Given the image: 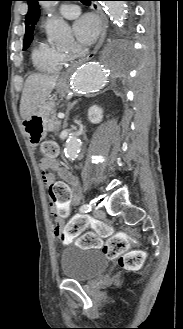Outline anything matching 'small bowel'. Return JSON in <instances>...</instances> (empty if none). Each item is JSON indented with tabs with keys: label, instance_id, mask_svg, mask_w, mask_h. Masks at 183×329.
Segmentation results:
<instances>
[{
	"label": "small bowel",
	"instance_id": "obj_1",
	"mask_svg": "<svg viewBox=\"0 0 183 329\" xmlns=\"http://www.w3.org/2000/svg\"><path fill=\"white\" fill-rule=\"evenodd\" d=\"M42 168L56 171L57 175L64 181L60 182L58 178H54L51 182V176H45V182L48 184L47 194H50L52 199L50 210L55 217L54 232L55 235L67 244L71 239L62 237L63 219L69 214V210L74 209V203H77L81 198V188L77 177L68 169L61 167L56 160L43 159L40 162Z\"/></svg>",
	"mask_w": 183,
	"mask_h": 329
}]
</instances>
